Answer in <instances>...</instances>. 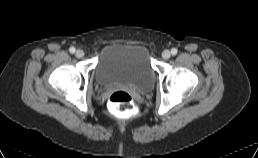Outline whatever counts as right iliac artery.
Masks as SVG:
<instances>
[{
    "mask_svg": "<svg viewBox=\"0 0 258 158\" xmlns=\"http://www.w3.org/2000/svg\"><path fill=\"white\" fill-rule=\"evenodd\" d=\"M69 51H70V53L73 54V53H75L76 49L74 47H70Z\"/></svg>",
    "mask_w": 258,
    "mask_h": 158,
    "instance_id": "obj_1",
    "label": "right iliac artery"
}]
</instances>
